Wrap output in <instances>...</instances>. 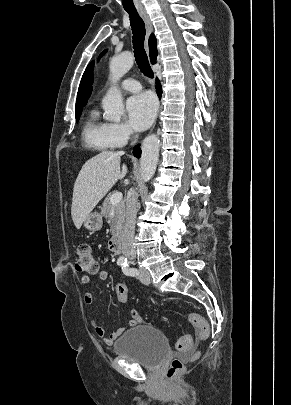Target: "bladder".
<instances>
[{
  "mask_svg": "<svg viewBox=\"0 0 291 405\" xmlns=\"http://www.w3.org/2000/svg\"><path fill=\"white\" fill-rule=\"evenodd\" d=\"M113 350L144 368L156 369L169 355L170 347L162 331L151 325H140L126 331Z\"/></svg>",
  "mask_w": 291,
  "mask_h": 405,
  "instance_id": "obj_1",
  "label": "bladder"
}]
</instances>
